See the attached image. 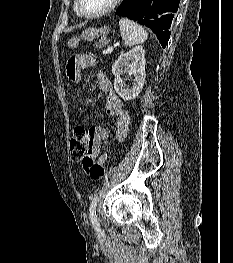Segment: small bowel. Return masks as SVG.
<instances>
[{"label":"small bowel","instance_id":"small-bowel-1","mask_svg":"<svg viewBox=\"0 0 233 263\" xmlns=\"http://www.w3.org/2000/svg\"><path fill=\"white\" fill-rule=\"evenodd\" d=\"M97 65V59L89 54H79L69 60L67 64V76L75 83L80 82L82 72ZM95 81L99 89L106 94V113L115 120V134L119 141H123L128 134L129 114L122 99L116 94L109 77L102 71L95 75ZM108 139V132L102 127H94L91 142V159L105 164L107 155H100L102 144Z\"/></svg>","mask_w":233,"mask_h":263}]
</instances>
